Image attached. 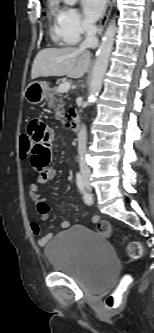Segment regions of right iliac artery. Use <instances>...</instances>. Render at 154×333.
<instances>
[{"mask_svg": "<svg viewBox=\"0 0 154 333\" xmlns=\"http://www.w3.org/2000/svg\"><path fill=\"white\" fill-rule=\"evenodd\" d=\"M76 183H77V186H78L80 192L83 195V199H84L85 203L88 205H91L93 203V197L85 190L82 176L80 173H77V175H76Z\"/></svg>", "mask_w": 154, "mask_h": 333, "instance_id": "1", "label": "right iliac artery"}]
</instances>
